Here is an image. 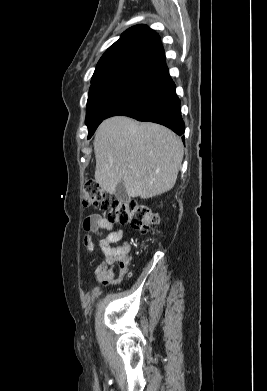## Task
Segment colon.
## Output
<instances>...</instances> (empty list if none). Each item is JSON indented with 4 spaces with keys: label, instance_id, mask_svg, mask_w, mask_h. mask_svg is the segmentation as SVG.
<instances>
[{
    "label": "colon",
    "instance_id": "colon-1",
    "mask_svg": "<svg viewBox=\"0 0 267 391\" xmlns=\"http://www.w3.org/2000/svg\"><path fill=\"white\" fill-rule=\"evenodd\" d=\"M82 203L86 208L102 210L112 223L130 225L141 232H149L158 224V216L149 206L136 200L109 199L93 180L83 187Z\"/></svg>",
    "mask_w": 267,
    "mask_h": 391
}]
</instances>
